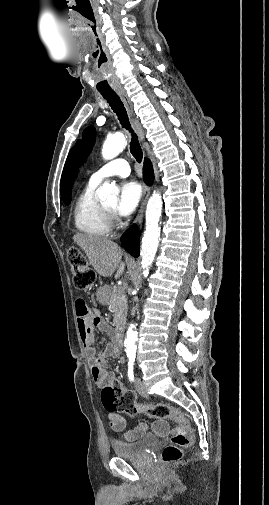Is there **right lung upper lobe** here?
<instances>
[{"instance_id": "1", "label": "right lung upper lobe", "mask_w": 269, "mask_h": 505, "mask_svg": "<svg viewBox=\"0 0 269 505\" xmlns=\"http://www.w3.org/2000/svg\"><path fill=\"white\" fill-rule=\"evenodd\" d=\"M72 170V153L70 151L64 169L62 173V178H61V196L63 201L71 199L70 193H71V186H72V176H71V171Z\"/></svg>"}]
</instances>
